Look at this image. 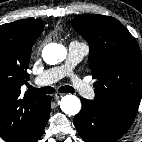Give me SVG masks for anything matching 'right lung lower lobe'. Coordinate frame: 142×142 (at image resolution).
I'll return each mask as SVG.
<instances>
[{
  "instance_id": "1",
  "label": "right lung lower lobe",
  "mask_w": 142,
  "mask_h": 142,
  "mask_svg": "<svg viewBox=\"0 0 142 142\" xmlns=\"http://www.w3.org/2000/svg\"><path fill=\"white\" fill-rule=\"evenodd\" d=\"M50 101H51V97L46 96L45 108L41 116L36 120L35 125L32 128V130L19 142H36L40 138L44 130V127L48 121V118H49Z\"/></svg>"
}]
</instances>
